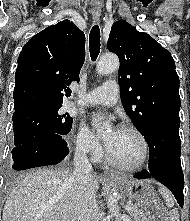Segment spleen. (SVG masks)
Listing matches in <instances>:
<instances>
[{
    "label": "spleen",
    "mask_w": 190,
    "mask_h": 221,
    "mask_svg": "<svg viewBox=\"0 0 190 221\" xmlns=\"http://www.w3.org/2000/svg\"><path fill=\"white\" fill-rule=\"evenodd\" d=\"M159 192L162 195L165 204L169 207V208H173L174 206V199L172 197V195L170 194V192L164 188V187H160L159 188ZM170 215V219L171 221H179V214H178V210L177 209H172L169 213Z\"/></svg>",
    "instance_id": "obj_1"
}]
</instances>
